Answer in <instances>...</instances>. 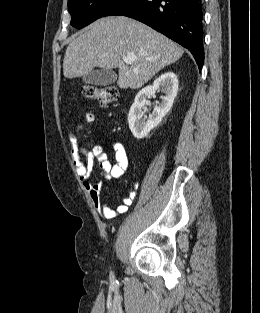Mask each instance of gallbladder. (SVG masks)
<instances>
[{"label":"gallbladder","mask_w":260,"mask_h":313,"mask_svg":"<svg viewBox=\"0 0 260 313\" xmlns=\"http://www.w3.org/2000/svg\"><path fill=\"white\" fill-rule=\"evenodd\" d=\"M117 79V74L113 70H92L82 77V81L86 84L96 86H108L113 84Z\"/></svg>","instance_id":"bac80fb5"}]
</instances>
